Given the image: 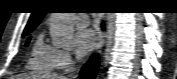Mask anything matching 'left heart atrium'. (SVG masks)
<instances>
[{"label": "left heart atrium", "mask_w": 177, "mask_h": 79, "mask_svg": "<svg viewBox=\"0 0 177 79\" xmlns=\"http://www.w3.org/2000/svg\"><path fill=\"white\" fill-rule=\"evenodd\" d=\"M96 35L92 29L82 28L75 35V52L79 58L85 57L95 46Z\"/></svg>", "instance_id": "left-heart-atrium-1"}]
</instances>
